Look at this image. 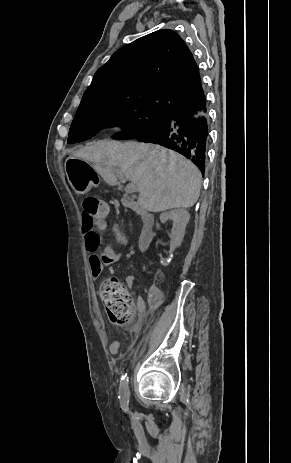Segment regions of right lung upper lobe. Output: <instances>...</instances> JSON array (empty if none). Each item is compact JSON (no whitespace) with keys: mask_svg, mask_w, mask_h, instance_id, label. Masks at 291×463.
I'll return each mask as SVG.
<instances>
[{"mask_svg":"<svg viewBox=\"0 0 291 463\" xmlns=\"http://www.w3.org/2000/svg\"><path fill=\"white\" fill-rule=\"evenodd\" d=\"M205 95L194 57L173 30L163 29L120 48L93 76L78 109L131 101L157 112H194Z\"/></svg>","mask_w":291,"mask_h":463,"instance_id":"obj_1","label":"right lung upper lobe"}]
</instances>
